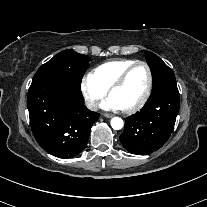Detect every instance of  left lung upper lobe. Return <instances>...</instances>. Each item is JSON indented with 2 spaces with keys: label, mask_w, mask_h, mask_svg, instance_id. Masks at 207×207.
Segmentation results:
<instances>
[{
  "label": "left lung upper lobe",
  "mask_w": 207,
  "mask_h": 207,
  "mask_svg": "<svg viewBox=\"0 0 207 207\" xmlns=\"http://www.w3.org/2000/svg\"><path fill=\"white\" fill-rule=\"evenodd\" d=\"M146 60L153 75L152 94L166 87L177 86L174 73L157 55L146 52Z\"/></svg>",
  "instance_id": "obj_1"
}]
</instances>
